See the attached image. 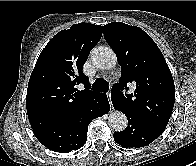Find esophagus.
Returning a JSON list of instances; mask_svg holds the SVG:
<instances>
[{
  "label": "esophagus",
  "mask_w": 196,
  "mask_h": 166,
  "mask_svg": "<svg viewBox=\"0 0 196 166\" xmlns=\"http://www.w3.org/2000/svg\"><path fill=\"white\" fill-rule=\"evenodd\" d=\"M107 97H108V100H109L111 108H113V104H112V101H111V92L110 91L107 93Z\"/></svg>",
  "instance_id": "obj_1"
}]
</instances>
